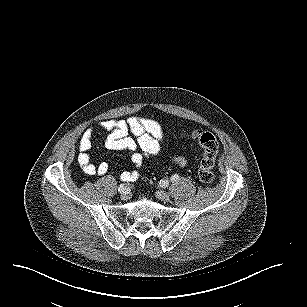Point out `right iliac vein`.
Returning a JSON list of instances; mask_svg holds the SVG:
<instances>
[{
    "mask_svg": "<svg viewBox=\"0 0 307 307\" xmlns=\"http://www.w3.org/2000/svg\"><path fill=\"white\" fill-rule=\"evenodd\" d=\"M120 198L123 201L128 200L130 198V195L127 192V188L126 187L124 188V191L120 192Z\"/></svg>",
    "mask_w": 307,
    "mask_h": 307,
    "instance_id": "right-iliac-vein-1",
    "label": "right iliac vein"
}]
</instances>
